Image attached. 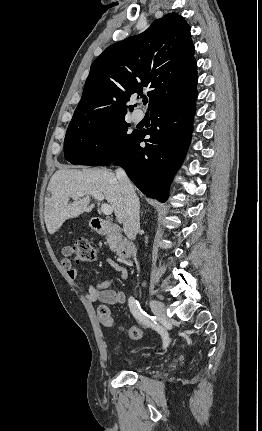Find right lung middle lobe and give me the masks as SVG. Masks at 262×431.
Here are the masks:
<instances>
[{"instance_id":"1","label":"right lung middle lobe","mask_w":262,"mask_h":431,"mask_svg":"<svg viewBox=\"0 0 262 431\" xmlns=\"http://www.w3.org/2000/svg\"><path fill=\"white\" fill-rule=\"evenodd\" d=\"M129 126L125 116L70 122L64 140L65 159L74 165L111 164L137 133H129Z\"/></svg>"}]
</instances>
